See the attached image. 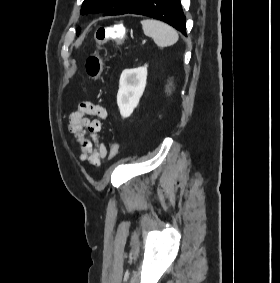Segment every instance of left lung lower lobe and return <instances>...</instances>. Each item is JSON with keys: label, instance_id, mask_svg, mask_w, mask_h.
<instances>
[{"label": "left lung lower lobe", "instance_id": "0a47b994", "mask_svg": "<svg viewBox=\"0 0 280 283\" xmlns=\"http://www.w3.org/2000/svg\"><path fill=\"white\" fill-rule=\"evenodd\" d=\"M128 13L162 20L186 35V18L180 0H143Z\"/></svg>", "mask_w": 280, "mask_h": 283}]
</instances>
